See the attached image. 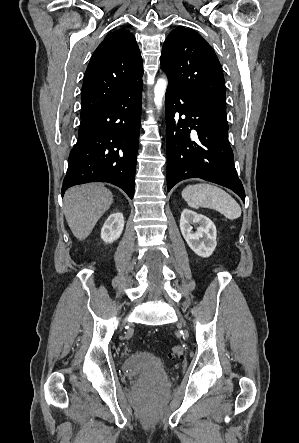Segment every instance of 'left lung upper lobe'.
Wrapping results in <instances>:
<instances>
[{"mask_svg":"<svg viewBox=\"0 0 299 443\" xmlns=\"http://www.w3.org/2000/svg\"><path fill=\"white\" fill-rule=\"evenodd\" d=\"M161 69L169 83L226 116L225 82L212 47L194 30L178 27L165 40Z\"/></svg>","mask_w":299,"mask_h":443,"instance_id":"left-lung-upper-lobe-1","label":"left lung upper lobe"}]
</instances>
